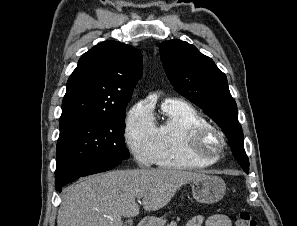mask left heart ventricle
Listing matches in <instances>:
<instances>
[{"mask_svg":"<svg viewBox=\"0 0 297 226\" xmlns=\"http://www.w3.org/2000/svg\"><path fill=\"white\" fill-rule=\"evenodd\" d=\"M207 148L210 149V150L216 149L217 148V141L214 138L210 139L207 142Z\"/></svg>","mask_w":297,"mask_h":226,"instance_id":"b2bd125f","label":"left heart ventricle"}]
</instances>
